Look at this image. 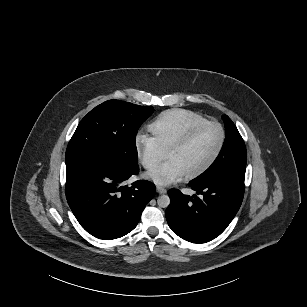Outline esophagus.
<instances>
[{"label": "esophagus", "mask_w": 307, "mask_h": 307, "mask_svg": "<svg viewBox=\"0 0 307 307\" xmlns=\"http://www.w3.org/2000/svg\"><path fill=\"white\" fill-rule=\"evenodd\" d=\"M156 191L158 194H166L167 193V190L161 186H157L156 187Z\"/></svg>", "instance_id": "obj_1"}]
</instances>
